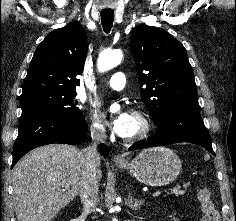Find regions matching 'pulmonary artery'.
I'll use <instances>...</instances> for the list:
<instances>
[{"label": "pulmonary artery", "instance_id": "pulmonary-artery-1", "mask_svg": "<svg viewBox=\"0 0 236 221\" xmlns=\"http://www.w3.org/2000/svg\"><path fill=\"white\" fill-rule=\"evenodd\" d=\"M126 83V76L123 72L114 73L109 80L106 82V87L120 91L124 89Z\"/></svg>", "mask_w": 236, "mask_h": 221}]
</instances>
